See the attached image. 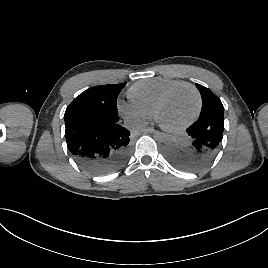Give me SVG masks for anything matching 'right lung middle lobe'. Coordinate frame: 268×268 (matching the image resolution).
I'll return each instance as SVG.
<instances>
[{
	"mask_svg": "<svg viewBox=\"0 0 268 268\" xmlns=\"http://www.w3.org/2000/svg\"><path fill=\"white\" fill-rule=\"evenodd\" d=\"M126 83L100 85L87 89L77 96L67 107L66 112L80 106H91L108 112H118L117 96Z\"/></svg>",
	"mask_w": 268,
	"mask_h": 268,
	"instance_id": "dd1d6c3e",
	"label": "right lung middle lobe"
}]
</instances>
